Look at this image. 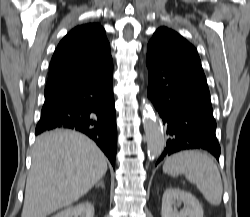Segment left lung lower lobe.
Returning <instances> with one entry per match:
<instances>
[{"instance_id":"obj_1","label":"left lung lower lobe","mask_w":250,"mask_h":217,"mask_svg":"<svg viewBox=\"0 0 250 217\" xmlns=\"http://www.w3.org/2000/svg\"><path fill=\"white\" fill-rule=\"evenodd\" d=\"M146 64L148 98L169 136L156 165L166 156L187 149H205L219 160L216 122L202 67L194 62L170 60L148 47Z\"/></svg>"}]
</instances>
